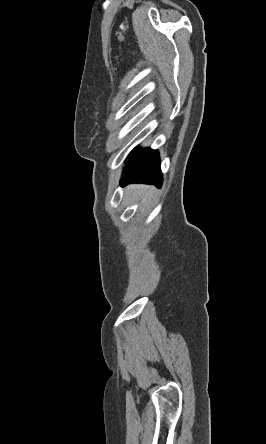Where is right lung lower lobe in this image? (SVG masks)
Masks as SVG:
<instances>
[{
    "label": "right lung lower lobe",
    "mask_w": 266,
    "mask_h": 444,
    "mask_svg": "<svg viewBox=\"0 0 266 444\" xmlns=\"http://www.w3.org/2000/svg\"><path fill=\"white\" fill-rule=\"evenodd\" d=\"M136 149L131 152L133 157L126 163L120 180L121 185L146 183L160 187L162 185V173L158 151L150 148L135 151Z\"/></svg>",
    "instance_id": "obj_1"
}]
</instances>
